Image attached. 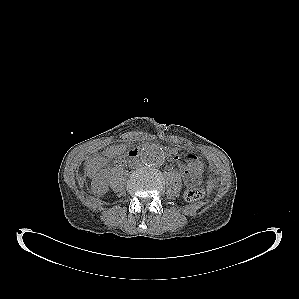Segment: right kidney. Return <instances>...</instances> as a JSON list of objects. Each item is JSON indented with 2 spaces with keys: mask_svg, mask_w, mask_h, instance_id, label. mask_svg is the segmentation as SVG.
Listing matches in <instances>:
<instances>
[{
  "mask_svg": "<svg viewBox=\"0 0 299 299\" xmlns=\"http://www.w3.org/2000/svg\"><path fill=\"white\" fill-rule=\"evenodd\" d=\"M92 190L94 193L102 195L108 191V184L103 174H99L92 181Z\"/></svg>",
  "mask_w": 299,
  "mask_h": 299,
  "instance_id": "ca27d5eb",
  "label": "right kidney"
}]
</instances>
